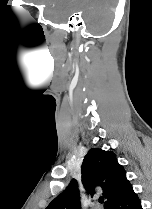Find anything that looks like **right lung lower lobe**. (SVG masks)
Masks as SVG:
<instances>
[{"label": "right lung lower lobe", "instance_id": "obj_1", "mask_svg": "<svg viewBox=\"0 0 152 209\" xmlns=\"http://www.w3.org/2000/svg\"><path fill=\"white\" fill-rule=\"evenodd\" d=\"M108 209H142L137 194L130 186Z\"/></svg>", "mask_w": 152, "mask_h": 209}]
</instances>
